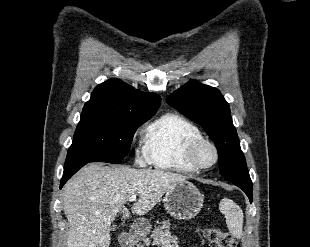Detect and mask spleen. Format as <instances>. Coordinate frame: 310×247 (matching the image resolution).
I'll list each match as a JSON object with an SVG mask.
<instances>
[{
	"label": "spleen",
	"mask_w": 310,
	"mask_h": 247,
	"mask_svg": "<svg viewBox=\"0 0 310 247\" xmlns=\"http://www.w3.org/2000/svg\"><path fill=\"white\" fill-rule=\"evenodd\" d=\"M219 210L226 218V224L233 237L240 239L243 235V211L232 200L223 198L219 204Z\"/></svg>",
	"instance_id": "3e777b00"
}]
</instances>
